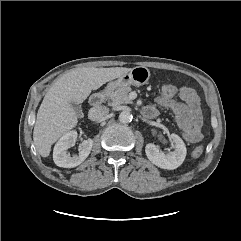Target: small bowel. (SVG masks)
Listing matches in <instances>:
<instances>
[{"label": "small bowel", "mask_w": 241, "mask_h": 241, "mask_svg": "<svg viewBox=\"0 0 241 241\" xmlns=\"http://www.w3.org/2000/svg\"><path fill=\"white\" fill-rule=\"evenodd\" d=\"M179 100L171 98L164 99L159 96L156 99L158 105L169 108L175 114L178 126L180 127L185 140L190 144L198 143L202 138V111L200 99L195 90L189 86H182L178 90ZM146 109L158 110L155 106H148Z\"/></svg>", "instance_id": "obj_1"}]
</instances>
